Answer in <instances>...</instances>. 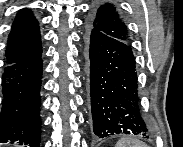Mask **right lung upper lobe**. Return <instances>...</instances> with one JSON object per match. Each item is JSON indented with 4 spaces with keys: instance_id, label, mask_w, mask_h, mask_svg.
Instances as JSON below:
<instances>
[{
    "instance_id": "cb5924a9",
    "label": "right lung upper lobe",
    "mask_w": 183,
    "mask_h": 147,
    "mask_svg": "<svg viewBox=\"0 0 183 147\" xmlns=\"http://www.w3.org/2000/svg\"><path fill=\"white\" fill-rule=\"evenodd\" d=\"M42 51L39 25L30 10L16 15L8 37L6 64L25 61Z\"/></svg>"
}]
</instances>
